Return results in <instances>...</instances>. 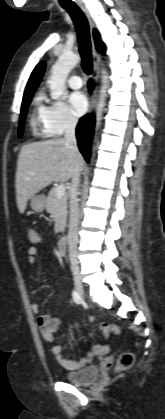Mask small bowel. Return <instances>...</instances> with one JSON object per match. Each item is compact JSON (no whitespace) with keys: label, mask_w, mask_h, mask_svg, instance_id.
Listing matches in <instances>:
<instances>
[{"label":"small bowel","mask_w":165,"mask_h":419,"mask_svg":"<svg viewBox=\"0 0 165 419\" xmlns=\"http://www.w3.org/2000/svg\"><path fill=\"white\" fill-rule=\"evenodd\" d=\"M40 238L38 240L39 243ZM38 248L31 246L28 250V263L34 265L37 262ZM32 310L37 316L38 325L41 328V336L45 343L51 344V352L57 358V361L66 369L76 370L85 367L91 363L97 354H99L104 346L103 344H96L91 351H89L84 357L71 360L62 355V347L55 342L54 332L60 327L59 319L52 318L48 314L41 313L40 306L37 303L32 304ZM86 334H82V337H86Z\"/></svg>","instance_id":"obj_1"}]
</instances>
